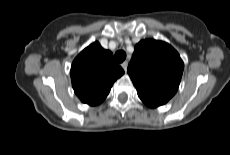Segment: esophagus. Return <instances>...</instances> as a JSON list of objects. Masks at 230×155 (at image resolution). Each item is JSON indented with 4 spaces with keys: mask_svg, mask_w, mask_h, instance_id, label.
<instances>
[{
    "mask_svg": "<svg viewBox=\"0 0 230 155\" xmlns=\"http://www.w3.org/2000/svg\"><path fill=\"white\" fill-rule=\"evenodd\" d=\"M122 68L124 69V71L126 72L127 71V67H128V62L125 61L121 64Z\"/></svg>",
    "mask_w": 230,
    "mask_h": 155,
    "instance_id": "esophagus-1",
    "label": "esophagus"
}]
</instances>
